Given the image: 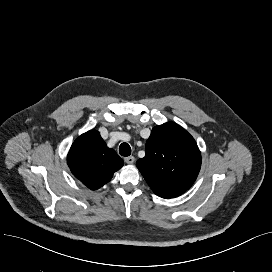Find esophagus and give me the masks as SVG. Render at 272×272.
Wrapping results in <instances>:
<instances>
[{
  "instance_id": "1",
  "label": "esophagus",
  "mask_w": 272,
  "mask_h": 272,
  "mask_svg": "<svg viewBox=\"0 0 272 272\" xmlns=\"http://www.w3.org/2000/svg\"><path fill=\"white\" fill-rule=\"evenodd\" d=\"M134 161H135V157H134V156H129V157H126V158H125V162H126L127 164H133Z\"/></svg>"
}]
</instances>
